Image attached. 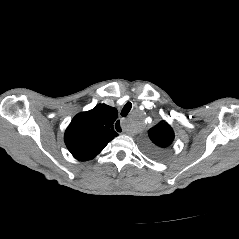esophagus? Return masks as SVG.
I'll return each mask as SVG.
<instances>
[{
    "instance_id": "esophagus-1",
    "label": "esophagus",
    "mask_w": 239,
    "mask_h": 239,
    "mask_svg": "<svg viewBox=\"0 0 239 239\" xmlns=\"http://www.w3.org/2000/svg\"><path fill=\"white\" fill-rule=\"evenodd\" d=\"M113 125H114V127H116L118 134H120V135L123 134L124 131H123V129L120 128L121 124L119 121L114 122Z\"/></svg>"
}]
</instances>
